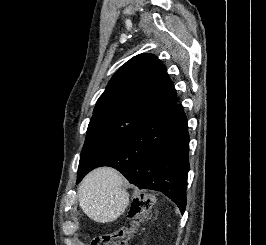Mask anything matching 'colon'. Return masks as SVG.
Masks as SVG:
<instances>
[{
    "mask_svg": "<svg viewBox=\"0 0 266 245\" xmlns=\"http://www.w3.org/2000/svg\"><path fill=\"white\" fill-rule=\"evenodd\" d=\"M153 207L150 197H136L128 210L130 226H122L116 232L105 233L94 238L91 245H132V235L139 224V219L145 216Z\"/></svg>",
    "mask_w": 266,
    "mask_h": 245,
    "instance_id": "obj_1",
    "label": "colon"
}]
</instances>
